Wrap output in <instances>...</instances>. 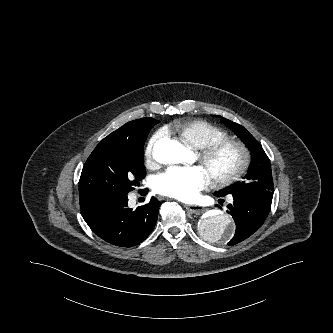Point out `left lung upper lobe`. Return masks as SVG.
<instances>
[{
    "instance_id": "left-lung-upper-lobe-1",
    "label": "left lung upper lobe",
    "mask_w": 333,
    "mask_h": 333,
    "mask_svg": "<svg viewBox=\"0 0 333 333\" xmlns=\"http://www.w3.org/2000/svg\"><path fill=\"white\" fill-rule=\"evenodd\" d=\"M224 124L229 126L246 143L251 150L252 162L248 173L241 181L220 190L223 195L249 194L264 198H273L274 185L269 158L258 141L241 125L230 120L223 119Z\"/></svg>"
}]
</instances>
